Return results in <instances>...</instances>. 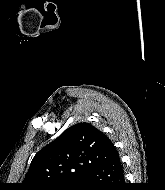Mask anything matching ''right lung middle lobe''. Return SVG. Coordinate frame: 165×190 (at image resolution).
Returning a JSON list of instances; mask_svg holds the SVG:
<instances>
[{"instance_id": "dd1d6c3e", "label": "right lung middle lobe", "mask_w": 165, "mask_h": 190, "mask_svg": "<svg viewBox=\"0 0 165 190\" xmlns=\"http://www.w3.org/2000/svg\"><path fill=\"white\" fill-rule=\"evenodd\" d=\"M81 185L82 182L81 180H79L73 184L51 188V190H80Z\"/></svg>"}]
</instances>
